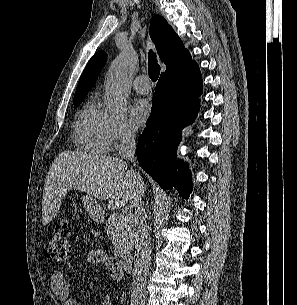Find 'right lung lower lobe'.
Here are the masks:
<instances>
[{
    "label": "right lung lower lobe",
    "instance_id": "right-lung-lower-lobe-1",
    "mask_svg": "<svg viewBox=\"0 0 297 305\" xmlns=\"http://www.w3.org/2000/svg\"><path fill=\"white\" fill-rule=\"evenodd\" d=\"M202 78L197 63L173 76H160L152 99L147 127L136 150L142 168L163 189L175 187L184 198L192 191L187 166L174 172L176 148L182 129L191 124L199 110Z\"/></svg>",
    "mask_w": 297,
    "mask_h": 305
}]
</instances>
